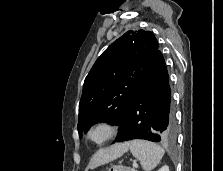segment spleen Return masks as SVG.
<instances>
[{"label":"spleen","mask_w":223,"mask_h":171,"mask_svg":"<svg viewBox=\"0 0 223 171\" xmlns=\"http://www.w3.org/2000/svg\"><path fill=\"white\" fill-rule=\"evenodd\" d=\"M132 155L137 158L145 171L153 170L164 156V149L146 140H132L128 142Z\"/></svg>","instance_id":"3e777b00"}]
</instances>
